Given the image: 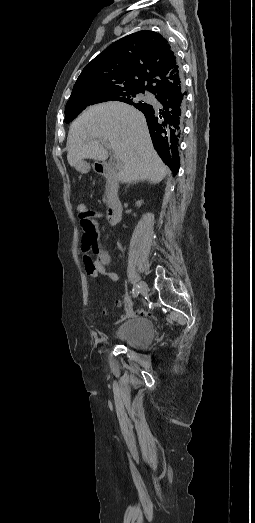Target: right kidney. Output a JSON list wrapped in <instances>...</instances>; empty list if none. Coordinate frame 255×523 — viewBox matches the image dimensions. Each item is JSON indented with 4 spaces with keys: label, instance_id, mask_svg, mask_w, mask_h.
Returning <instances> with one entry per match:
<instances>
[{
    "label": "right kidney",
    "instance_id": "obj_1",
    "mask_svg": "<svg viewBox=\"0 0 255 523\" xmlns=\"http://www.w3.org/2000/svg\"><path fill=\"white\" fill-rule=\"evenodd\" d=\"M137 206H142L143 202L142 200H139V202H136Z\"/></svg>",
    "mask_w": 255,
    "mask_h": 523
}]
</instances>
